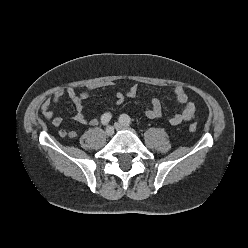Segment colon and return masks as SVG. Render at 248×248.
I'll use <instances>...</instances> for the list:
<instances>
[{"mask_svg": "<svg viewBox=\"0 0 248 248\" xmlns=\"http://www.w3.org/2000/svg\"><path fill=\"white\" fill-rule=\"evenodd\" d=\"M189 130H190L191 132H195V131L197 130V125H196L195 123H191V124L189 125Z\"/></svg>", "mask_w": 248, "mask_h": 248, "instance_id": "1", "label": "colon"}]
</instances>
